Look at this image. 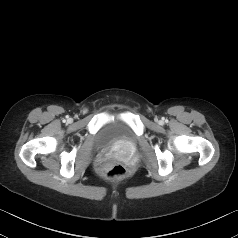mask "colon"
I'll return each mask as SVG.
<instances>
[{
	"label": "colon",
	"instance_id": "colon-1",
	"mask_svg": "<svg viewBox=\"0 0 238 238\" xmlns=\"http://www.w3.org/2000/svg\"><path fill=\"white\" fill-rule=\"evenodd\" d=\"M127 174L126 168L120 163L109 165L103 172V176L110 180L123 179Z\"/></svg>",
	"mask_w": 238,
	"mask_h": 238
}]
</instances>
